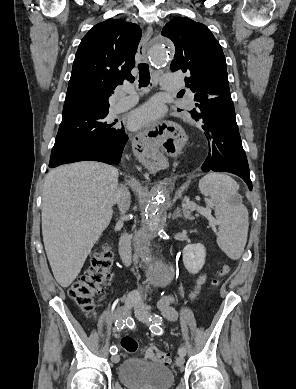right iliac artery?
I'll return each mask as SVG.
<instances>
[{
    "label": "right iliac artery",
    "instance_id": "right-iliac-artery-1",
    "mask_svg": "<svg viewBox=\"0 0 296 389\" xmlns=\"http://www.w3.org/2000/svg\"><path fill=\"white\" fill-rule=\"evenodd\" d=\"M119 313L120 314H124V309L123 308H120L119 309ZM124 318H119V319H117L116 320V322H115V327L117 328V330H121V329H123L124 328ZM117 351H118V349H117V347L116 346H112L111 348H110V353L112 354V355H115L116 353H117Z\"/></svg>",
    "mask_w": 296,
    "mask_h": 389
}]
</instances>
